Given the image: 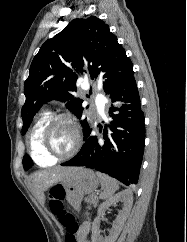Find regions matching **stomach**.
Returning <instances> with one entry per match:
<instances>
[{
	"mask_svg": "<svg viewBox=\"0 0 187 242\" xmlns=\"http://www.w3.org/2000/svg\"><path fill=\"white\" fill-rule=\"evenodd\" d=\"M65 190L67 202L76 210H79L84 194L95 191L99 185V179L94 171L86 168H77L61 183Z\"/></svg>",
	"mask_w": 187,
	"mask_h": 242,
	"instance_id": "stomach-1",
	"label": "stomach"
}]
</instances>
